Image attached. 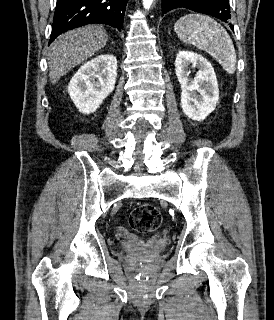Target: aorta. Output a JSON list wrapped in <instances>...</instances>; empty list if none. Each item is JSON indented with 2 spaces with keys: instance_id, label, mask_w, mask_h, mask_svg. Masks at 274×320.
I'll return each instance as SVG.
<instances>
[{
  "instance_id": "aorta-1",
  "label": "aorta",
  "mask_w": 274,
  "mask_h": 320,
  "mask_svg": "<svg viewBox=\"0 0 274 320\" xmlns=\"http://www.w3.org/2000/svg\"><path fill=\"white\" fill-rule=\"evenodd\" d=\"M154 0H143V6L145 9H149Z\"/></svg>"
}]
</instances>
